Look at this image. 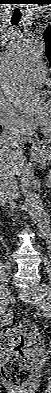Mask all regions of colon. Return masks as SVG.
<instances>
[{
    "label": "colon",
    "instance_id": "obj_1",
    "mask_svg": "<svg viewBox=\"0 0 51 393\" xmlns=\"http://www.w3.org/2000/svg\"><path fill=\"white\" fill-rule=\"evenodd\" d=\"M31 334L36 344L43 343V337L27 320L6 327L1 332V355L3 377L16 388H22L32 377L24 353L25 337Z\"/></svg>",
    "mask_w": 51,
    "mask_h": 393
}]
</instances>
